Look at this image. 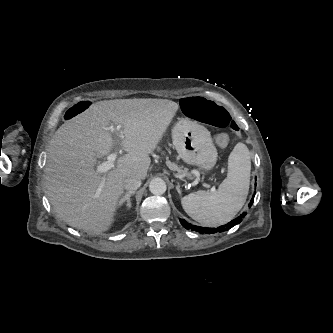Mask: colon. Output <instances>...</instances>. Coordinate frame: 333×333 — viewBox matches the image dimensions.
I'll return each instance as SVG.
<instances>
[{
	"label": "colon",
	"instance_id": "obj_1",
	"mask_svg": "<svg viewBox=\"0 0 333 333\" xmlns=\"http://www.w3.org/2000/svg\"><path fill=\"white\" fill-rule=\"evenodd\" d=\"M92 105L91 102H79L66 111L64 119L71 120ZM182 109L189 117L216 128L229 129L235 136H240L243 133V128L235 124L224 108L206 98L200 96L186 97L182 100Z\"/></svg>",
	"mask_w": 333,
	"mask_h": 333
}]
</instances>
